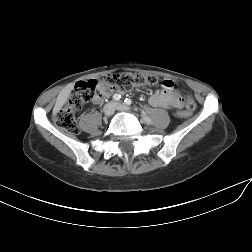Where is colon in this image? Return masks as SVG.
<instances>
[{"mask_svg": "<svg viewBox=\"0 0 252 252\" xmlns=\"http://www.w3.org/2000/svg\"><path fill=\"white\" fill-rule=\"evenodd\" d=\"M159 82L154 75L144 74L140 72H120L106 75L102 81L89 80L80 82L73 90L67 103L54 114L56 125L62 130L70 134H77L79 128L75 119V114L85 103L93 100L97 96L99 85L116 90L118 92H127L135 86H155ZM170 87L173 82L166 81L163 83ZM196 108V103L193 99L188 98L186 102V111L182 115H190Z\"/></svg>", "mask_w": 252, "mask_h": 252, "instance_id": "5ec220e1", "label": "colon"}]
</instances>
